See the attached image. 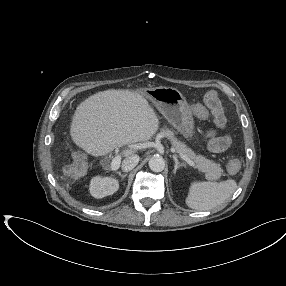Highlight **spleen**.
Masks as SVG:
<instances>
[{"label": "spleen", "mask_w": 286, "mask_h": 286, "mask_svg": "<svg viewBox=\"0 0 286 286\" xmlns=\"http://www.w3.org/2000/svg\"><path fill=\"white\" fill-rule=\"evenodd\" d=\"M236 188L237 183L231 179L219 183L194 181L190 184L186 204L198 211L212 210L225 203Z\"/></svg>", "instance_id": "3e777b00"}]
</instances>
